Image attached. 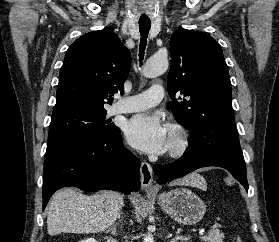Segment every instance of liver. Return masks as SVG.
<instances>
[{
    "label": "liver",
    "mask_w": 279,
    "mask_h": 242,
    "mask_svg": "<svg viewBox=\"0 0 279 242\" xmlns=\"http://www.w3.org/2000/svg\"><path fill=\"white\" fill-rule=\"evenodd\" d=\"M173 185L207 188L204 178L197 174L179 179ZM123 204V196L115 191L103 190L88 196L71 188L61 189L49 202L48 234L105 231L114 224Z\"/></svg>",
    "instance_id": "obj_1"
}]
</instances>
